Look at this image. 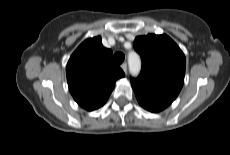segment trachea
Wrapping results in <instances>:
<instances>
[{
  "label": "trachea",
  "instance_id": "trachea-1",
  "mask_svg": "<svg viewBox=\"0 0 230 155\" xmlns=\"http://www.w3.org/2000/svg\"><path fill=\"white\" fill-rule=\"evenodd\" d=\"M124 54L122 52H116L114 54V61L116 64H121L124 61Z\"/></svg>",
  "mask_w": 230,
  "mask_h": 155
}]
</instances>
